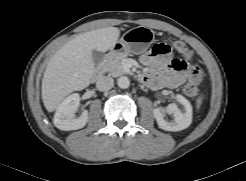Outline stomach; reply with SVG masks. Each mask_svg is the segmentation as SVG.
<instances>
[{"mask_svg":"<svg viewBox=\"0 0 246 181\" xmlns=\"http://www.w3.org/2000/svg\"><path fill=\"white\" fill-rule=\"evenodd\" d=\"M154 40V33L147 27H136L127 31L110 50V57L122 54H141L145 52Z\"/></svg>","mask_w":246,"mask_h":181,"instance_id":"obj_1","label":"stomach"}]
</instances>
